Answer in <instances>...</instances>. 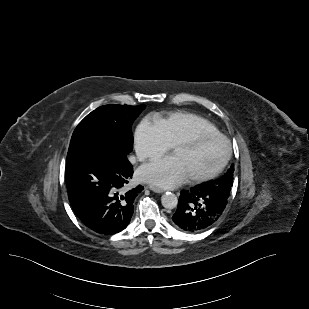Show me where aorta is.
Wrapping results in <instances>:
<instances>
[{"mask_svg":"<svg viewBox=\"0 0 309 309\" xmlns=\"http://www.w3.org/2000/svg\"><path fill=\"white\" fill-rule=\"evenodd\" d=\"M161 203H162L164 208L173 209L177 206L178 199H177V196L174 193L167 192V193L162 195Z\"/></svg>","mask_w":309,"mask_h":309,"instance_id":"1","label":"aorta"}]
</instances>
